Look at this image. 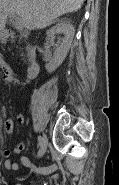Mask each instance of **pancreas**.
<instances>
[{
	"label": "pancreas",
	"mask_w": 119,
	"mask_h": 185,
	"mask_svg": "<svg viewBox=\"0 0 119 185\" xmlns=\"http://www.w3.org/2000/svg\"><path fill=\"white\" fill-rule=\"evenodd\" d=\"M27 50H28V51L30 50V46H27Z\"/></svg>",
	"instance_id": "cf45deb5"
}]
</instances>
